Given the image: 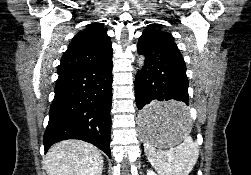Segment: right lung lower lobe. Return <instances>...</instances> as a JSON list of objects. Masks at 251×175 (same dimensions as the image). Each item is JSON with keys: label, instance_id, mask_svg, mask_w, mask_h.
I'll return each instance as SVG.
<instances>
[{"label": "right lung lower lobe", "instance_id": "98d812e1", "mask_svg": "<svg viewBox=\"0 0 251 175\" xmlns=\"http://www.w3.org/2000/svg\"><path fill=\"white\" fill-rule=\"evenodd\" d=\"M112 56L104 63L58 72L44 134L45 152L56 142L80 139L111 158Z\"/></svg>", "mask_w": 251, "mask_h": 175}]
</instances>
